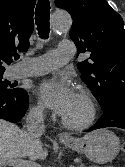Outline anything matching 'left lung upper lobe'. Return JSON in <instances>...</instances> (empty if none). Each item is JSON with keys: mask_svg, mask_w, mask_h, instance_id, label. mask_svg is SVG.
I'll list each match as a JSON object with an SVG mask.
<instances>
[{"mask_svg": "<svg viewBox=\"0 0 125 167\" xmlns=\"http://www.w3.org/2000/svg\"><path fill=\"white\" fill-rule=\"evenodd\" d=\"M73 19L70 37L77 54L90 57L77 64L83 81L103 109L125 100V30L122 17L105 0H55Z\"/></svg>", "mask_w": 125, "mask_h": 167, "instance_id": "left-lung-upper-lobe-1", "label": "left lung upper lobe"}]
</instances>
